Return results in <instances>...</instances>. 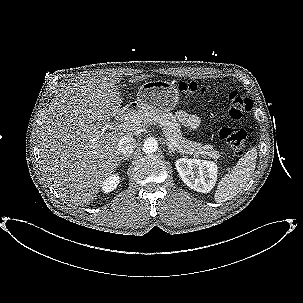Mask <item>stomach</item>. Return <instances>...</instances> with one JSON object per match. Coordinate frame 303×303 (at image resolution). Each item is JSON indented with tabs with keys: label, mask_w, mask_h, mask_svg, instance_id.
<instances>
[{
	"label": "stomach",
	"mask_w": 303,
	"mask_h": 303,
	"mask_svg": "<svg viewBox=\"0 0 303 303\" xmlns=\"http://www.w3.org/2000/svg\"><path fill=\"white\" fill-rule=\"evenodd\" d=\"M179 100L175 85L168 81L145 82L137 93L136 106L139 112H168Z\"/></svg>",
	"instance_id": "stomach-1"
}]
</instances>
